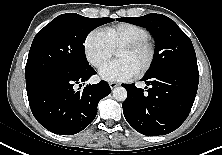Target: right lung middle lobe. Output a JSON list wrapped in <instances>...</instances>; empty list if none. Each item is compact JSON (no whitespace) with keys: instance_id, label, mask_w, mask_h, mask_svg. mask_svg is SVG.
Instances as JSON below:
<instances>
[{"instance_id":"right-lung-middle-lobe-1","label":"right lung middle lobe","mask_w":222,"mask_h":155,"mask_svg":"<svg viewBox=\"0 0 222 155\" xmlns=\"http://www.w3.org/2000/svg\"><path fill=\"white\" fill-rule=\"evenodd\" d=\"M114 19L59 15L35 36L25 67L26 86L52 74H74L90 67L84 50L87 35Z\"/></svg>"}]
</instances>
